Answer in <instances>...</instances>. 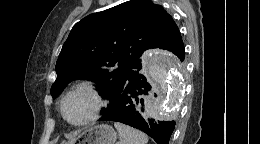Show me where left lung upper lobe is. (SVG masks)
<instances>
[{"label":"left lung upper lobe","instance_id":"left-lung-upper-lobe-1","mask_svg":"<svg viewBox=\"0 0 260 144\" xmlns=\"http://www.w3.org/2000/svg\"><path fill=\"white\" fill-rule=\"evenodd\" d=\"M179 33L172 17L149 0L90 14L74 25L62 47L51 95L55 98L67 83L84 79L96 82L99 94L111 103L127 69L141 62L143 51L162 49Z\"/></svg>","mask_w":260,"mask_h":144}]
</instances>
